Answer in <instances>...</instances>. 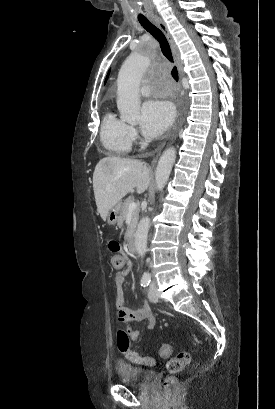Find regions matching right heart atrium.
<instances>
[{
    "label": "right heart atrium",
    "instance_id": "d8ad5b80",
    "mask_svg": "<svg viewBox=\"0 0 275 409\" xmlns=\"http://www.w3.org/2000/svg\"><path fill=\"white\" fill-rule=\"evenodd\" d=\"M130 133H131V136H132L133 139H136V138H137L138 133H137V130H136L135 127L130 126Z\"/></svg>",
    "mask_w": 275,
    "mask_h": 409
}]
</instances>
